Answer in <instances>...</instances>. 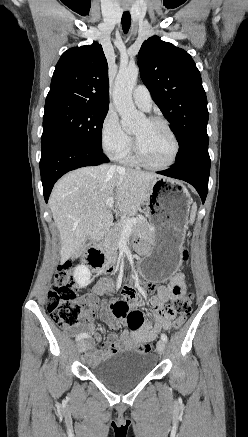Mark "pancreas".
Masks as SVG:
<instances>
[{"label": "pancreas", "mask_w": 248, "mask_h": 437, "mask_svg": "<svg viewBox=\"0 0 248 437\" xmlns=\"http://www.w3.org/2000/svg\"><path fill=\"white\" fill-rule=\"evenodd\" d=\"M136 219L138 222L133 225V231L139 233L147 240L150 237V223L142 217H137ZM123 230L122 223H118L104 243L105 251L111 261H114L117 258L118 242Z\"/></svg>", "instance_id": "pancreas-1"}]
</instances>
